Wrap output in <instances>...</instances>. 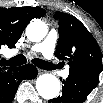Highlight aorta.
<instances>
[{"label":"aorta","instance_id":"1","mask_svg":"<svg viewBox=\"0 0 103 103\" xmlns=\"http://www.w3.org/2000/svg\"><path fill=\"white\" fill-rule=\"evenodd\" d=\"M47 35L46 24L39 20L31 21L26 27V36L32 42H39ZM39 95L47 100L54 99L60 92V81L52 74H42L36 80Z\"/></svg>","mask_w":103,"mask_h":103}]
</instances>
